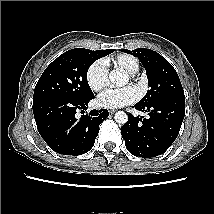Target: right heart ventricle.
<instances>
[{
    "mask_svg": "<svg viewBox=\"0 0 214 214\" xmlns=\"http://www.w3.org/2000/svg\"><path fill=\"white\" fill-rule=\"evenodd\" d=\"M105 62L107 65L110 64L109 60H106ZM113 64L115 67L120 68L129 74H135L140 68L139 60L136 57L124 53L117 55L113 60Z\"/></svg>",
    "mask_w": 214,
    "mask_h": 214,
    "instance_id": "obj_1",
    "label": "right heart ventricle"
}]
</instances>
